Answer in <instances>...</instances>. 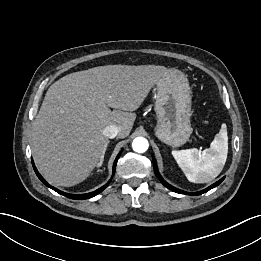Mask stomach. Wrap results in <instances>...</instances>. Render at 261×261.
<instances>
[{"instance_id":"0dacf381","label":"stomach","mask_w":261,"mask_h":261,"mask_svg":"<svg viewBox=\"0 0 261 261\" xmlns=\"http://www.w3.org/2000/svg\"><path fill=\"white\" fill-rule=\"evenodd\" d=\"M156 90L155 135L165 144L179 147L189 140L192 133L188 79L181 71L171 69L168 75L156 82Z\"/></svg>"}]
</instances>
